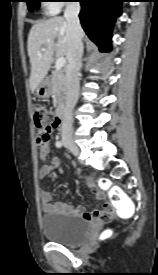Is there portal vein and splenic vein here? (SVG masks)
<instances>
[{"mask_svg": "<svg viewBox=\"0 0 158 275\" xmlns=\"http://www.w3.org/2000/svg\"><path fill=\"white\" fill-rule=\"evenodd\" d=\"M42 50H44V48H43ZM65 63H66V60H65L64 57L58 58V59L56 60V70L58 71V70H60L62 67H64Z\"/></svg>", "mask_w": 158, "mask_h": 275, "instance_id": "18ae733b", "label": "portal vein and splenic vein"}]
</instances>
